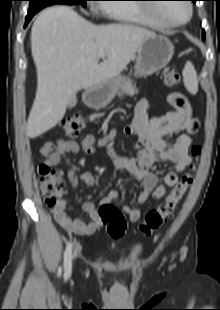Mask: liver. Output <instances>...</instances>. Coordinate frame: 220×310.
Returning <instances> with one entry per match:
<instances>
[{
  "label": "liver",
  "mask_w": 220,
  "mask_h": 310,
  "mask_svg": "<svg viewBox=\"0 0 220 310\" xmlns=\"http://www.w3.org/2000/svg\"><path fill=\"white\" fill-rule=\"evenodd\" d=\"M154 35L130 24L94 25L66 6L42 11L31 30L37 90L27 135L36 138L55 127L75 93L118 77ZM100 52L106 57L102 63Z\"/></svg>",
  "instance_id": "liver-1"
}]
</instances>
